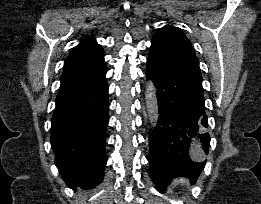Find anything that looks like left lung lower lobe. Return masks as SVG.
I'll list each match as a JSON object with an SVG mask.
<instances>
[{"instance_id": "obj_1", "label": "left lung lower lobe", "mask_w": 261, "mask_h": 204, "mask_svg": "<svg viewBox=\"0 0 261 204\" xmlns=\"http://www.w3.org/2000/svg\"><path fill=\"white\" fill-rule=\"evenodd\" d=\"M147 79L157 89L159 116L149 136L150 176L164 192L176 176L192 183L204 168L194 149L208 152L210 136L198 59L190 41L173 31L156 33L147 58Z\"/></svg>"}]
</instances>
